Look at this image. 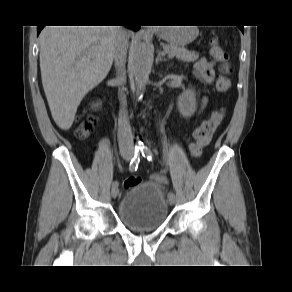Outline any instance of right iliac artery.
<instances>
[{
	"label": "right iliac artery",
	"instance_id": "right-iliac-artery-1",
	"mask_svg": "<svg viewBox=\"0 0 292 292\" xmlns=\"http://www.w3.org/2000/svg\"><path fill=\"white\" fill-rule=\"evenodd\" d=\"M140 153H141L140 148L139 147L135 148L134 156L131 159L130 164H129V170L131 172L136 171L137 168H138V164L140 162ZM112 186L113 187H118V182H113Z\"/></svg>",
	"mask_w": 292,
	"mask_h": 292
}]
</instances>
